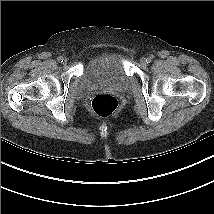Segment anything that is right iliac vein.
Wrapping results in <instances>:
<instances>
[{"label": "right iliac vein", "mask_w": 214, "mask_h": 214, "mask_svg": "<svg viewBox=\"0 0 214 214\" xmlns=\"http://www.w3.org/2000/svg\"><path fill=\"white\" fill-rule=\"evenodd\" d=\"M64 64H65V65L67 64V59L64 60Z\"/></svg>", "instance_id": "1"}]
</instances>
